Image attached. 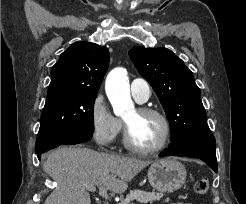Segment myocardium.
I'll return each mask as SVG.
<instances>
[{
    "mask_svg": "<svg viewBox=\"0 0 246 204\" xmlns=\"http://www.w3.org/2000/svg\"><path fill=\"white\" fill-rule=\"evenodd\" d=\"M137 112L142 115H154L158 117L162 121L163 126H164L163 137L161 141L154 147H149V148L140 147L132 141L131 136H130L129 127L127 123L124 121V138H123L124 145L129 150L135 153H138V154H142V155H149V154H155V153L160 152L168 144L170 137H171V133H172L171 123L168 117L162 111L155 109V108H151V107L138 108Z\"/></svg>",
    "mask_w": 246,
    "mask_h": 204,
    "instance_id": "obj_1",
    "label": "myocardium"
}]
</instances>
